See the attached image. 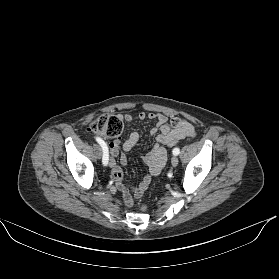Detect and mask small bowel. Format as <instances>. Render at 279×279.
<instances>
[{
  "instance_id": "1",
  "label": "small bowel",
  "mask_w": 279,
  "mask_h": 279,
  "mask_svg": "<svg viewBox=\"0 0 279 279\" xmlns=\"http://www.w3.org/2000/svg\"><path fill=\"white\" fill-rule=\"evenodd\" d=\"M156 121V125L150 130L152 135H155L156 144L152 151L143 156V161L148 167V174L145 175L143 180L131 191L123 183V170L121 166L116 165L112 169V178L118 190L122 192L123 201L126 206L133 204L134 198L142 196L143 192L149 186L153 177L157 176L167 161V151L165 146L170 138L176 137L185 139L195 136L194 126L187 120L181 118H171L157 112H140L137 115L126 113L122 119L126 122L144 119ZM138 132H132L129 137L121 143L119 139H113L109 143V150L112 156H119V163L122 166L127 164V157L125 152L130 151L138 142ZM122 149V152H121Z\"/></svg>"
}]
</instances>
